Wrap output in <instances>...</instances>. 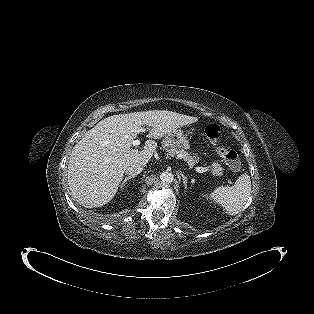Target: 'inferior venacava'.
<instances>
[{
    "label": "inferior vena cava",
    "instance_id": "1",
    "mask_svg": "<svg viewBox=\"0 0 314 314\" xmlns=\"http://www.w3.org/2000/svg\"><path fill=\"white\" fill-rule=\"evenodd\" d=\"M144 167H145V164L132 163L126 168L125 172L127 175L134 177V176L140 174L142 172V170L144 169Z\"/></svg>",
    "mask_w": 314,
    "mask_h": 314
}]
</instances>
